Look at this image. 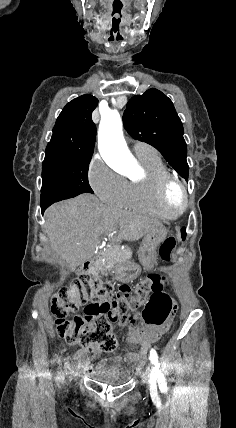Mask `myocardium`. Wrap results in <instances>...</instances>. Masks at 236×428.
I'll return each mask as SVG.
<instances>
[{
	"instance_id": "obj_1",
	"label": "myocardium",
	"mask_w": 236,
	"mask_h": 428,
	"mask_svg": "<svg viewBox=\"0 0 236 428\" xmlns=\"http://www.w3.org/2000/svg\"><path fill=\"white\" fill-rule=\"evenodd\" d=\"M178 187L181 192L180 203H174L169 196L172 187ZM154 192L159 206L173 214H179L185 211L189 204V194L185 183L172 175L159 177L154 185Z\"/></svg>"
}]
</instances>
